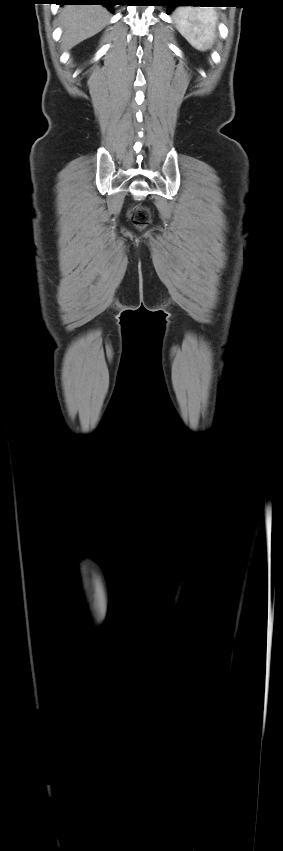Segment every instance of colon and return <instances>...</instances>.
<instances>
[{
  "label": "colon",
  "mask_w": 283,
  "mask_h": 851,
  "mask_svg": "<svg viewBox=\"0 0 283 851\" xmlns=\"http://www.w3.org/2000/svg\"><path fill=\"white\" fill-rule=\"evenodd\" d=\"M134 224L138 227H145L151 220L150 211L143 206L132 207L129 211Z\"/></svg>",
  "instance_id": "obj_1"
}]
</instances>
